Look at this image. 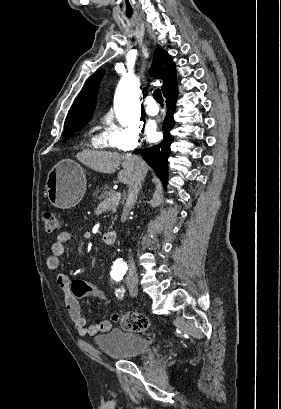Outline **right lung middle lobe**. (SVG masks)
<instances>
[{"label": "right lung middle lobe", "mask_w": 281, "mask_h": 409, "mask_svg": "<svg viewBox=\"0 0 281 409\" xmlns=\"http://www.w3.org/2000/svg\"><path fill=\"white\" fill-rule=\"evenodd\" d=\"M81 126H68L64 128V134H63V142H65L69 137H71L77 130H79Z\"/></svg>", "instance_id": "right-lung-middle-lobe-1"}]
</instances>
